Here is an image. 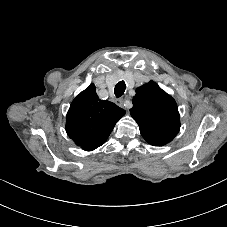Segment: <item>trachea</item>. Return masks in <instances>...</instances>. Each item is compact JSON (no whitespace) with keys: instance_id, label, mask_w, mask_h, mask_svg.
Listing matches in <instances>:
<instances>
[{"instance_id":"1","label":"trachea","mask_w":227,"mask_h":227,"mask_svg":"<svg viewBox=\"0 0 227 227\" xmlns=\"http://www.w3.org/2000/svg\"><path fill=\"white\" fill-rule=\"evenodd\" d=\"M126 89V84L124 81H120L116 84L115 88H114V94L117 98L121 97Z\"/></svg>"}]
</instances>
